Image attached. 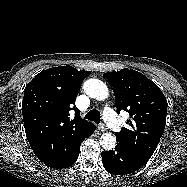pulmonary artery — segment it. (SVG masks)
I'll return each instance as SVG.
<instances>
[{"label": "pulmonary artery", "mask_w": 187, "mask_h": 187, "mask_svg": "<svg viewBox=\"0 0 187 187\" xmlns=\"http://www.w3.org/2000/svg\"><path fill=\"white\" fill-rule=\"evenodd\" d=\"M104 115L109 124L116 130L121 129V119L116 115V113L109 107H105Z\"/></svg>", "instance_id": "pulmonary-artery-1"}]
</instances>
